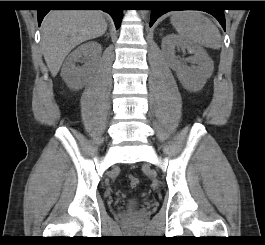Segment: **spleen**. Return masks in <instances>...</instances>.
<instances>
[{"label": "spleen", "mask_w": 265, "mask_h": 245, "mask_svg": "<svg viewBox=\"0 0 265 245\" xmlns=\"http://www.w3.org/2000/svg\"><path fill=\"white\" fill-rule=\"evenodd\" d=\"M171 24L185 40L212 49L221 47V35L218 28L199 11L173 12Z\"/></svg>", "instance_id": "spleen-1"}]
</instances>
